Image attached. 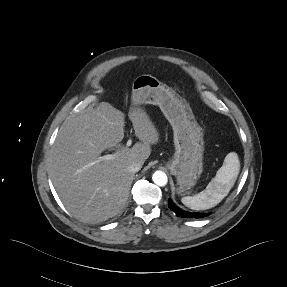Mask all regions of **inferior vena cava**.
<instances>
[{
	"label": "inferior vena cava",
	"mask_w": 287,
	"mask_h": 287,
	"mask_svg": "<svg viewBox=\"0 0 287 287\" xmlns=\"http://www.w3.org/2000/svg\"><path fill=\"white\" fill-rule=\"evenodd\" d=\"M141 168H142V163H140V162H132L128 166V170L132 173L138 172Z\"/></svg>",
	"instance_id": "1"
}]
</instances>
